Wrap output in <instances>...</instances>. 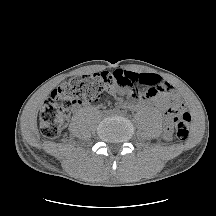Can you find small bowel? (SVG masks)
I'll return each instance as SVG.
<instances>
[{
  "label": "small bowel",
  "mask_w": 216,
  "mask_h": 216,
  "mask_svg": "<svg viewBox=\"0 0 216 216\" xmlns=\"http://www.w3.org/2000/svg\"><path fill=\"white\" fill-rule=\"evenodd\" d=\"M126 72L132 75V82L127 86L115 85L110 90V94L114 97L118 105L125 106L126 102L124 98H130L137 104L151 102L166 113L172 108L182 107L179 94L159 75L154 73ZM137 84L148 88L145 92H136L138 90ZM172 134V127L170 124H167L164 128V138L170 139Z\"/></svg>",
  "instance_id": "small-bowel-1"
}]
</instances>
